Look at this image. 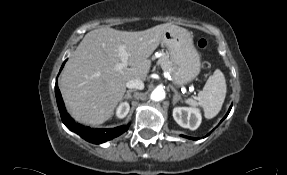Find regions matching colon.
<instances>
[{"instance_id":"obj_1","label":"colon","mask_w":287,"mask_h":175,"mask_svg":"<svg viewBox=\"0 0 287 175\" xmlns=\"http://www.w3.org/2000/svg\"><path fill=\"white\" fill-rule=\"evenodd\" d=\"M196 45L198 46L199 49L201 50H205L208 47V42L206 39L204 38H198L196 40Z\"/></svg>"}]
</instances>
